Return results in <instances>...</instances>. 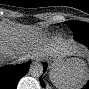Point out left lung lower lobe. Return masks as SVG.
Segmentation results:
<instances>
[{"label": "left lung lower lobe", "instance_id": "1", "mask_svg": "<svg viewBox=\"0 0 89 89\" xmlns=\"http://www.w3.org/2000/svg\"><path fill=\"white\" fill-rule=\"evenodd\" d=\"M74 39L89 47V32L86 31L76 32L74 33ZM43 65H44V71H46L47 64L43 62ZM40 83L42 87H45V84L41 78H40ZM88 88H89V83L83 89H88Z\"/></svg>", "mask_w": 89, "mask_h": 89}]
</instances>
